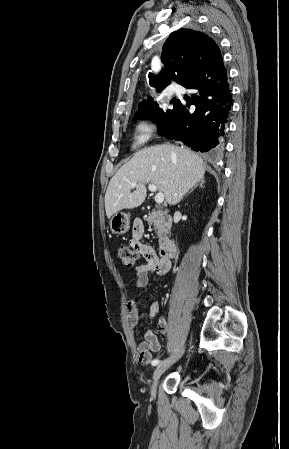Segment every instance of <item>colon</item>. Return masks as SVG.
<instances>
[{"label":"colon","mask_w":289,"mask_h":449,"mask_svg":"<svg viewBox=\"0 0 289 449\" xmlns=\"http://www.w3.org/2000/svg\"><path fill=\"white\" fill-rule=\"evenodd\" d=\"M117 254L125 266H134L139 260V252L131 245H121L117 249Z\"/></svg>","instance_id":"obj_1"}]
</instances>
